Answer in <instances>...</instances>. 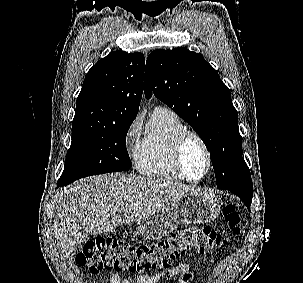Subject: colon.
Returning a JSON list of instances; mask_svg holds the SVG:
<instances>
[{
    "label": "colon",
    "instance_id": "1",
    "mask_svg": "<svg viewBox=\"0 0 303 283\" xmlns=\"http://www.w3.org/2000/svg\"><path fill=\"white\" fill-rule=\"evenodd\" d=\"M229 229L238 234L244 226V215L234 205L223 208ZM221 243V235L209 226L187 228L171 237L152 243H130L112 238H99L88 242L77 253L76 263L88 267L92 274L101 271L143 272L170 266L181 256L195 252L210 255ZM191 278L182 276L183 283Z\"/></svg>",
    "mask_w": 303,
    "mask_h": 283
}]
</instances>
